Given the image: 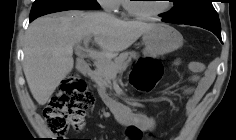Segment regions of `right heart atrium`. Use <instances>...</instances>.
Segmentation results:
<instances>
[{"mask_svg":"<svg viewBox=\"0 0 236 140\" xmlns=\"http://www.w3.org/2000/svg\"><path fill=\"white\" fill-rule=\"evenodd\" d=\"M102 8L109 13L117 12L119 9L118 0H99Z\"/></svg>","mask_w":236,"mask_h":140,"instance_id":"d8ad5b80","label":"right heart atrium"}]
</instances>
